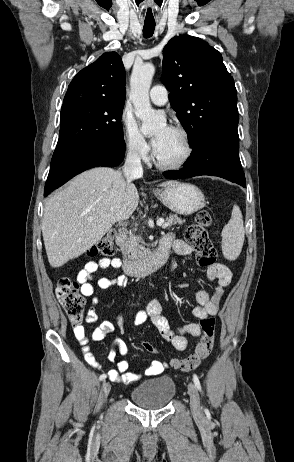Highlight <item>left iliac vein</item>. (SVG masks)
Here are the masks:
<instances>
[{"label":"left iliac vein","mask_w":294,"mask_h":462,"mask_svg":"<svg viewBox=\"0 0 294 462\" xmlns=\"http://www.w3.org/2000/svg\"><path fill=\"white\" fill-rule=\"evenodd\" d=\"M188 393L190 396V406L194 414L201 413L200 398L196 386L190 382L188 384Z\"/></svg>","instance_id":"4c4485c4"}]
</instances>
